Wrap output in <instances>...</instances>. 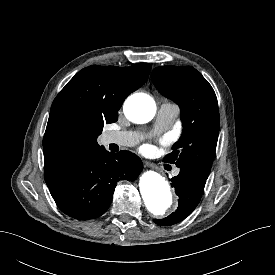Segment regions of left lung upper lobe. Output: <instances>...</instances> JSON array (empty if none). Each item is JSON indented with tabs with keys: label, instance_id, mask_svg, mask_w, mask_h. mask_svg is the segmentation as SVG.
<instances>
[{
	"label": "left lung upper lobe",
	"instance_id": "1",
	"mask_svg": "<svg viewBox=\"0 0 275 275\" xmlns=\"http://www.w3.org/2000/svg\"><path fill=\"white\" fill-rule=\"evenodd\" d=\"M151 79L181 111L183 132L164 162L177 167L193 165L210 172L220 126L218 102L209 82L191 66H161Z\"/></svg>",
	"mask_w": 275,
	"mask_h": 275
}]
</instances>
